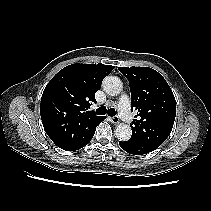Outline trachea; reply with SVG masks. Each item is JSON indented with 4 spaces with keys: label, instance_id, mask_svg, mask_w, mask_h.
<instances>
[{
    "label": "trachea",
    "instance_id": "3493384b",
    "mask_svg": "<svg viewBox=\"0 0 211 211\" xmlns=\"http://www.w3.org/2000/svg\"><path fill=\"white\" fill-rule=\"evenodd\" d=\"M96 113L98 115H105V114H108V116H114L116 114V111L114 108H109V109H106L105 106H101L99 107L97 110H96Z\"/></svg>",
    "mask_w": 211,
    "mask_h": 211
}]
</instances>
